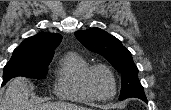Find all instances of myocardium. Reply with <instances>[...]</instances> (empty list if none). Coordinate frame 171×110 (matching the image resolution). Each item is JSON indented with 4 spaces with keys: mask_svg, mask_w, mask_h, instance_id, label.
Returning <instances> with one entry per match:
<instances>
[{
    "mask_svg": "<svg viewBox=\"0 0 171 110\" xmlns=\"http://www.w3.org/2000/svg\"><path fill=\"white\" fill-rule=\"evenodd\" d=\"M97 70L105 71L110 76V78L112 80L113 92L108 97L98 96L95 93V91L93 90L92 83H91V78H92L93 73L95 71H97ZM84 85H85V88H86L87 92L90 94V96L94 100H97V101H109V100L113 99L115 97L116 93H117V79H116V76H115L114 72L107 65H104V64H96V65L90 66L87 69V71L84 74Z\"/></svg>",
    "mask_w": 171,
    "mask_h": 110,
    "instance_id": "obj_1",
    "label": "myocardium"
}]
</instances>
